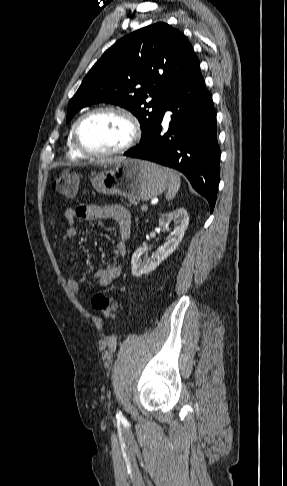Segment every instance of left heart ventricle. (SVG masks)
Returning <instances> with one entry per match:
<instances>
[{"mask_svg":"<svg viewBox=\"0 0 287 486\" xmlns=\"http://www.w3.org/2000/svg\"><path fill=\"white\" fill-rule=\"evenodd\" d=\"M129 137V123L115 113H102L89 118L80 131L82 144L95 152L116 149L124 145Z\"/></svg>","mask_w":287,"mask_h":486,"instance_id":"1","label":"left heart ventricle"}]
</instances>
